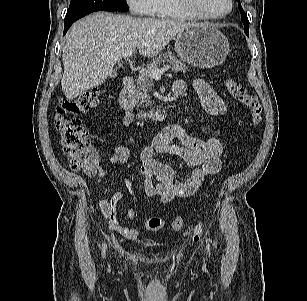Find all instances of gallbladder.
<instances>
[{
    "label": "gallbladder",
    "mask_w": 307,
    "mask_h": 301,
    "mask_svg": "<svg viewBox=\"0 0 307 301\" xmlns=\"http://www.w3.org/2000/svg\"><path fill=\"white\" fill-rule=\"evenodd\" d=\"M110 76L113 77V78L116 77V76H117V71L114 70V71L110 74Z\"/></svg>",
    "instance_id": "bac80fb5"
}]
</instances>
